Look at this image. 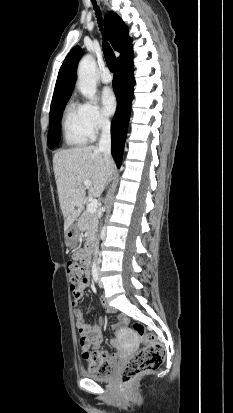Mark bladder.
Here are the masks:
<instances>
[{
	"label": "bladder",
	"instance_id": "obj_1",
	"mask_svg": "<svg viewBox=\"0 0 233 413\" xmlns=\"http://www.w3.org/2000/svg\"><path fill=\"white\" fill-rule=\"evenodd\" d=\"M83 376L97 382H109L112 378V374H100L97 372H83Z\"/></svg>",
	"mask_w": 233,
	"mask_h": 413
}]
</instances>
